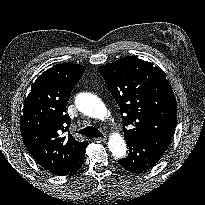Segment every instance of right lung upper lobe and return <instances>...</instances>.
Here are the masks:
<instances>
[{"label":"right lung upper lobe","mask_w":205,"mask_h":205,"mask_svg":"<svg viewBox=\"0 0 205 205\" xmlns=\"http://www.w3.org/2000/svg\"><path fill=\"white\" fill-rule=\"evenodd\" d=\"M86 68L79 64H57L43 72L31 86L20 118L21 135L33 158L57 173L82 155L88 143L76 141L69 130L71 118L65 113L73 87Z\"/></svg>","instance_id":"obj_1"}]
</instances>
